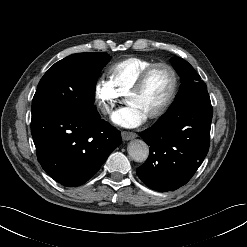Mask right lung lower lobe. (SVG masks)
Masks as SVG:
<instances>
[{"mask_svg":"<svg viewBox=\"0 0 247 247\" xmlns=\"http://www.w3.org/2000/svg\"><path fill=\"white\" fill-rule=\"evenodd\" d=\"M31 133L42 168L68 187L88 181L121 143L120 132L98 112L85 115L66 106L32 116Z\"/></svg>","mask_w":247,"mask_h":247,"instance_id":"obj_1","label":"right lung lower lobe"}]
</instances>
